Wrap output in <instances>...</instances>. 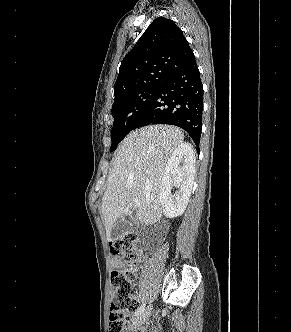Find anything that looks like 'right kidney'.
Returning <instances> with one entry per match:
<instances>
[{
  "instance_id": "ca27d5eb",
  "label": "right kidney",
  "mask_w": 291,
  "mask_h": 332,
  "mask_svg": "<svg viewBox=\"0 0 291 332\" xmlns=\"http://www.w3.org/2000/svg\"><path fill=\"white\" fill-rule=\"evenodd\" d=\"M195 153L189 143H182L170 156L160 187V202L167 218L182 215L187 207L195 174ZM178 191L172 194V187Z\"/></svg>"
}]
</instances>
